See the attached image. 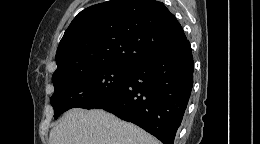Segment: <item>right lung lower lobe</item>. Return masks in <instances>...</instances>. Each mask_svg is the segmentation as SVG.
Returning <instances> with one entry per match:
<instances>
[{
    "mask_svg": "<svg viewBox=\"0 0 260 144\" xmlns=\"http://www.w3.org/2000/svg\"><path fill=\"white\" fill-rule=\"evenodd\" d=\"M194 63L188 40L130 67L126 83L111 97L89 107L113 113L174 144L193 84Z\"/></svg>",
    "mask_w": 260,
    "mask_h": 144,
    "instance_id": "right-lung-lower-lobe-1",
    "label": "right lung lower lobe"
}]
</instances>
